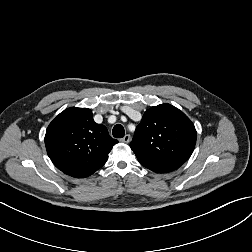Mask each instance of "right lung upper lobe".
<instances>
[{
    "mask_svg": "<svg viewBox=\"0 0 252 252\" xmlns=\"http://www.w3.org/2000/svg\"><path fill=\"white\" fill-rule=\"evenodd\" d=\"M88 108L65 109L49 124L45 146L53 164L67 175L83 178L101 168L118 143L93 120Z\"/></svg>",
    "mask_w": 252,
    "mask_h": 252,
    "instance_id": "right-lung-upper-lobe-1",
    "label": "right lung upper lobe"
}]
</instances>
